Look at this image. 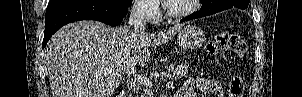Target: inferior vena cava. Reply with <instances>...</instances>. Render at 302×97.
Wrapping results in <instances>:
<instances>
[{"mask_svg":"<svg viewBox=\"0 0 302 97\" xmlns=\"http://www.w3.org/2000/svg\"><path fill=\"white\" fill-rule=\"evenodd\" d=\"M129 27H132L135 33L145 32L146 24V5L144 2H136L130 12Z\"/></svg>","mask_w":302,"mask_h":97,"instance_id":"obj_1","label":"inferior vena cava"}]
</instances>
